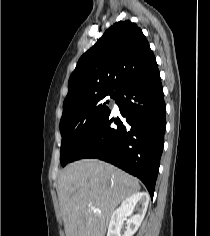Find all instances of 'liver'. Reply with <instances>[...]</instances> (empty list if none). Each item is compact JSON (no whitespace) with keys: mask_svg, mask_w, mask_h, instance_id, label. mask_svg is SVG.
<instances>
[{"mask_svg":"<svg viewBox=\"0 0 210 236\" xmlns=\"http://www.w3.org/2000/svg\"><path fill=\"white\" fill-rule=\"evenodd\" d=\"M139 190L136 178L103 161L69 164L58 178L66 236H104L115 208Z\"/></svg>","mask_w":210,"mask_h":236,"instance_id":"1","label":"liver"}]
</instances>
